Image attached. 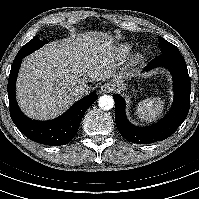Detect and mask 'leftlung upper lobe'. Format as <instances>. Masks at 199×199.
<instances>
[{"instance_id":"1","label":"left lung upper lobe","mask_w":199,"mask_h":199,"mask_svg":"<svg viewBox=\"0 0 199 199\" xmlns=\"http://www.w3.org/2000/svg\"><path fill=\"white\" fill-rule=\"evenodd\" d=\"M159 46L161 53L179 51L176 46L164 40L162 37H159Z\"/></svg>"}]
</instances>
